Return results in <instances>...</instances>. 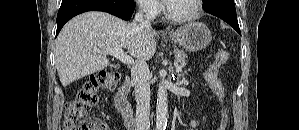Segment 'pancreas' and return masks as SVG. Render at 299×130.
<instances>
[{"mask_svg":"<svg viewBox=\"0 0 299 130\" xmlns=\"http://www.w3.org/2000/svg\"><path fill=\"white\" fill-rule=\"evenodd\" d=\"M175 66L179 65L181 67H184L186 65V58L187 54L183 50H175Z\"/></svg>","mask_w":299,"mask_h":130,"instance_id":"pancreas-1","label":"pancreas"}]
</instances>
